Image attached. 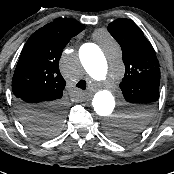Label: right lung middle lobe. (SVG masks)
Returning a JSON list of instances; mask_svg holds the SVG:
<instances>
[{
    "label": "right lung middle lobe",
    "instance_id": "dd1d6c3e",
    "mask_svg": "<svg viewBox=\"0 0 174 174\" xmlns=\"http://www.w3.org/2000/svg\"><path fill=\"white\" fill-rule=\"evenodd\" d=\"M61 120V113L54 112L49 117V120L26 124L29 130L34 134L42 136H52L59 131Z\"/></svg>",
    "mask_w": 174,
    "mask_h": 174
}]
</instances>
